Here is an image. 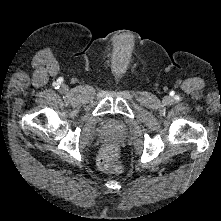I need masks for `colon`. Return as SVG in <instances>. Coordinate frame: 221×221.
Segmentation results:
<instances>
[{"label": "colon", "mask_w": 221, "mask_h": 221, "mask_svg": "<svg viewBox=\"0 0 221 221\" xmlns=\"http://www.w3.org/2000/svg\"><path fill=\"white\" fill-rule=\"evenodd\" d=\"M98 167L106 172H119L121 164L119 162V149L116 146H107L97 158Z\"/></svg>", "instance_id": "obj_1"}]
</instances>
